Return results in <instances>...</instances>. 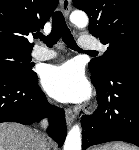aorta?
Returning <instances> with one entry per match:
<instances>
[{"mask_svg":"<svg viewBox=\"0 0 139 150\" xmlns=\"http://www.w3.org/2000/svg\"><path fill=\"white\" fill-rule=\"evenodd\" d=\"M70 21L78 28L86 27L88 16L84 11H74L70 15ZM64 150H81V127L74 125L67 134Z\"/></svg>","mask_w":139,"mask_h":150,"instance_id":"762f6f07","label":"aorta"}]
</instances>
